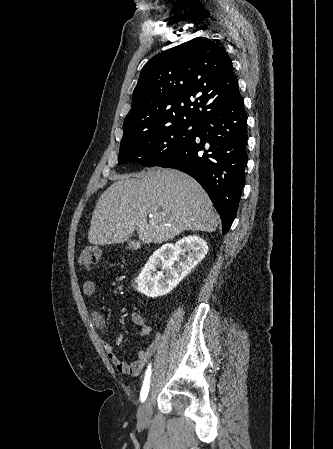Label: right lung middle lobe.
Returning a JSON list of instances; mask_svg holds the SVG:
<instances>
[{"instance_id":"1","label":"right lung middle lobe","mask_w":333,"mask_h":449,"mask_svg":"<svg viewBox=\"0 0 333 449\" xmlns=\"http://www.w3.org/2000/svg\"><path fill=\"white\" fill-rule=\"evenodd\" d=\"M197 128V122L176 120L123 140L118 164L135 162L147 167L156 166L189 140Z\"/></svg>"}]
</instances>
